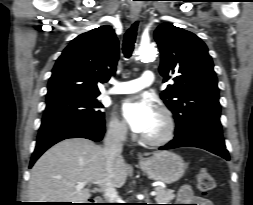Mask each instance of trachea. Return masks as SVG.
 Instances as JSON below:
<instances>
[{"instance_id":"3493384b","label":"trachea","mask_w":253,"mask_h":205,"mask_svg":"<svg viewBox=\"0 0 253 205\" xmlns=\"http://www.w3.org/2000/svg\"><path fill=\"white\" fill-rule=\"evenodd\" d=\"M138 22H135L127 30L123 41V54L126 58H130L134 50V43L137 35Z\"/></svg>"}]
</instances>
